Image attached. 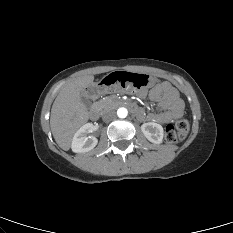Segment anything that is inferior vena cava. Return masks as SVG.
I'll list each match as a JSON object with an SVG mask.
<instances>
[{"label": "inferior vena cava", "instance_id": "inferior-vena-cava-1", "mask_svg": "<svg viewBox=\"0 0 233 233\" xmlns=\"http://www.w3.org/2000/svg\"><path fill=\"white\" fill-rule=\"evenodd\" d=\"M115 117H116V113H115V111H113V110H107V111H105V112L103 113V115H102V119H103V121H105V122H109V121H111V120H114Z\"/></svg>", "mask_w": 233, "mask_h": 233}]
</instances>
